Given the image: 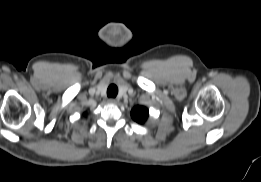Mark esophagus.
I'll list each match as a JSON object with an SVG mask.
<instances>
[{
  "instance_id": "34e87169",
  "label": "esophagus",
  "mask_w": 261,
  "mask_h": 182,
  "mask_svg": "<svg viewBox=\"0 0 261 182\" xmlns=\"http://www.w3.org/2000/svg\"><path fill=\"white\" fill-rule=\"evenodd\" d=\"M108 102L111 103V104H116L117 100L115 98H109Z\"/></svg>"
}]
</instances>
